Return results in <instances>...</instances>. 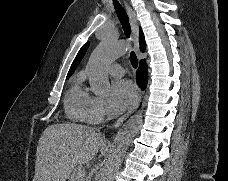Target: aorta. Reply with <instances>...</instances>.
Returning <instances> with one entry per match:
<instances>
[{"instance_id": "1", "label": "aorta", "mask_w": 228, "mask_h": 181, "mask_svg": "<svg viewBox=\"0 0 228 181\" xmlns=\"http://www.w3.org/2000/svg\"><path fill=\"white\" fill-rule=\"evenodd\" d=\"M126 51V44L123 41L113 39L111 36L104 37L93 51L86 66V74L89 77L91 90L96 95L107 96L109 94L108 66L115 59L124 55ZM142 123V114L138 113L118 131L100 181H113L115 171L121 164L128 146L140 130Z\"/></svg>"}]
</instances>
